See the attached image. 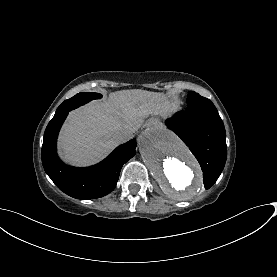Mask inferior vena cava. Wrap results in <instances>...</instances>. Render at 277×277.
<instances>
[{
	"mask_svg": "<svg viewBox=\"0 0 277 277\" xmlns=\"http://www.w3.org/2000/svg\"><path fill=\"white\" fill-rule=\"evenodd\" d=\"M134 131L130 128H121L114 132V137L118 142H125L133 137Z\"/></svg>",
	"mask_w": 277,
	"mask_h": 277,
	"instance_id": "inferior-vena-cava-1",
	"label": "inferior vena cava"
}]
</instances>
